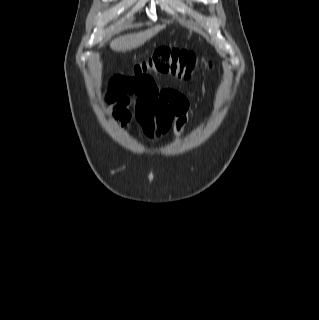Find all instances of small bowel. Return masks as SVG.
Masks as SVG:
<instances>
[{
  "label": "small bowel",
  "mask_w": 319,
  "mask_h": 320,
  "mask_svg": "<svg viewBox=\"0 0 319 320\" xmlns=\"http://www.w3.org/2000/svg\"><path fill=\"white\" fill-rule=\"evenodd\" d=\"M138 94L136 114L149 113L160 123L173 128L178 139L187 121L189 104L186 97L172 88L159 89L151 77H143L129 86L112 88L105 95V104L109 109L108 118L119 124H126L131 114V95Z\"/></svg>",
  "instance_id": "c3829d8e"
}]
</instances>
